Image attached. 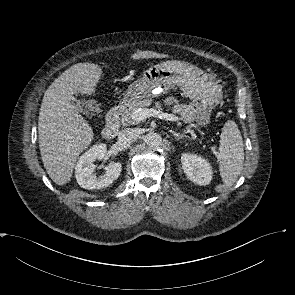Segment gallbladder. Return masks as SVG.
Segmentation results:
<instances>
[{
	"instance_id": "1",
	"label": "gallbladder",
	"mask_w": 295,
	"mask_h": 295,
	"mask_svg": "<svg viewBox=\"0 0 295 295\" xmlns=\"http://www.w3.org/2000/svg\"><path fill=\"white\" fill-rule=\"evenodd\" d=\"M71 104L74 106V108H75L77 111H79V112H82V111H83V109H82L80 103H79L77 100H75V99L71 100Z\"/></svg>"
}]
</instances>
